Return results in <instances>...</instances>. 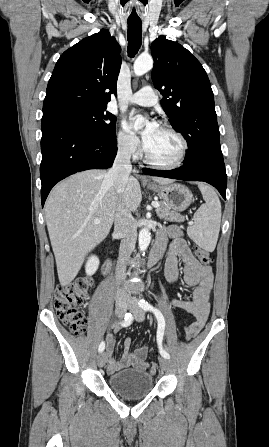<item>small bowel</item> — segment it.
I'll return each mask as SVG.
<instances>
[{"label":"small bowel","mask_w":269,"mask_h":447,"mask_svg":"<svg viewBox=\"0 0 269 447\" xmlns=\"http://www.w3.org/2000/svg\"><path fill=\"white\" fill-rule=\"evenodd\" d=\"M168 233L174 238V242L168 252L166 276L171 283H178L177 258L180 256L183 260L184 282L194 288L191 300L173 299L172 305L190 314L194 318L192 323L194 328L201 329L210 312V296L214 285L212 267L200 263L194 257L186 241L182 238L180 229L171 228ZM165 246L166 237L161 233L157 238L154 250L162 252ZM105 342L107 344L109 372L113 373L128 367L138 369H146L148 367L147 356L143 353L144 348L147 346H141L131 352V341L127 339L123 344V353L120 360H115L113 358L115 333L108 334L105 337Z\"/></svg>","instance_id":"obj_1"}]
</instances>
